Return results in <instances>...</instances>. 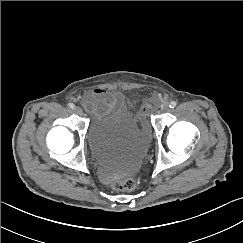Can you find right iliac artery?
Here are the masks:
<instances>
[{
  "instance_id": "obj_1",
  "label": "right iliac artery",
  "mask_w": 243,
  "mask_h": 243,
  "mask_svg": "<svg viewBox=\"0 0 243 243\" xmlns=\"http://www.w3.org/2000/svg\"><path fill=\"white\" fill-rule=\"evenodd\" d=\"M68 106H69L70 109H74L75 108V105L73 103H70Z\"/></svg>"
}]
</instances>
